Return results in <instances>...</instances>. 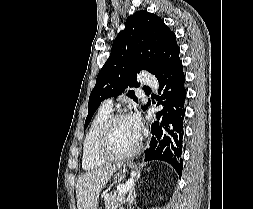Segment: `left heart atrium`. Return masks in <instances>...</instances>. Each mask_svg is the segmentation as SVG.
Here are the masks:
<instances>
[{"mask_svg": "<svg viewBox=\"0 0 253 209\" xmlns=\"http://www.w3.org/2000/svg\"><path fill=\"white\" fill-rule=\"evenodd\" d=\"M128 119L133 126L134 130L139 134L142 127L140 115L137 112H133L128 116Z\"/></svg>", "mask_w": 253, "mask_h": 209, "instance_id": "left-heart-atrium-1", "label": "left heart atrium"}]
</instances>
